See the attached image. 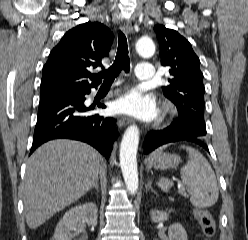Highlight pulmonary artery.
Wrapping results in <instances>:
<instances>
[{
  "instance_id": "e3ab8cb5",
  "label": "pulmonary artery",
  "mask_w": 248,
  "mask_h": 240,
  "mask_svg": "<svg viewBox=\"0 0 248 240\" xmlns=\"http://www.w3.org/2000/svg\"><path fill=\"white\" fill-rule=\"evenodd\" d=\"M135 75L138 80L151 81L154 79V67L150 63L141 62L136 67Z\"/></svg>"
}]
</instances>
